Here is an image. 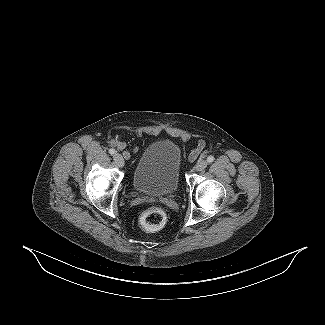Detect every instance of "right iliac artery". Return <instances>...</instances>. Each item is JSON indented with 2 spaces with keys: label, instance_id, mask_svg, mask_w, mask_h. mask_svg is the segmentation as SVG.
<instances>
[{
  "label": "right iliac artery",
  "instance_id": "82829eb1",
  "mask_svg": "<svg viewBox=\"0 0 325 325\" xmlns=\"http://www.w3.org/2000/svg\"><path fill=\"white\" fill-rule=\"evenodd\" d=\"M115 150L114 149H109V153L111 154V155H113V154H115Z\"/></svg>",
  "mask_w": 325,
  "mask_h": 325
}]
</instances>
